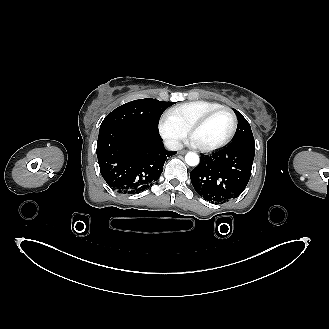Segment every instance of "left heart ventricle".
Listing matches in <instances>:
<instances>
[{
  "mask_svg": "<svg viewBox=\"0 0 329 329\" xmlns=\"http://www.w3.org/2000/svg\"><path fill=\"white\" fill-rule=\"evenodd\" d=\"M232 128V118L228 112H221L198 128L192 139L195 144L209 146L223 141Z\"/></svg>",
  "mask_w": 329,
  "mask_h": 329,
  "instance_id": "left-heart-ventricle-1",
  "label": "left heart ventricle"
}]
</instances>
